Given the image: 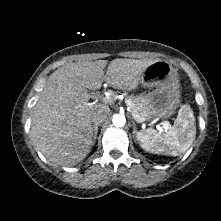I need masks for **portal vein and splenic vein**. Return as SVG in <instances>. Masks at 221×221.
I'll use <instances>...</instances> for the list:
<instances>
[{
  "label": "portal vein and splenic vein",
  "mask_w": 221,
  "mask_h": 221,
  "mask_svg": "<svg viewBox=\"0 0 221 221\" xmlns=\"http://www.w3.org/2000/svg\"><path fill=\"white\" fill-rule=\"evenodd\" d=\"M132 116L136 122H139V123L143 122V119H141L138 115L132 114ZM164 124H165V126H167L168 122L166 121V122H164ZM160 130H161V128H160Z\"/></svg>",
  "instance_id": "18ae733b"
}]
</instances>
